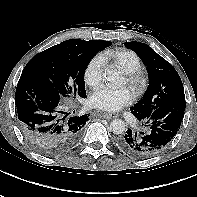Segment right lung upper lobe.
Segmentation results:
<instances>
[{
  "label": "right lung upper lobe",
  "mask_w": 197,
  "mask_h": 197,
  "mask_svg": "<svg viewBox=\"0 0 197 197\" xmlns=\"http://www.w3.org/2000/svg\"><path fill=\"white\" fill-rule=\"evenodd\" d=\"M82 40L80 39H70L62 42V44L67 45V46H76L79 43H81Z\"/></svg>",
  "instance_id": "right-lung-upper-lobe-1"
}]
</instances>
